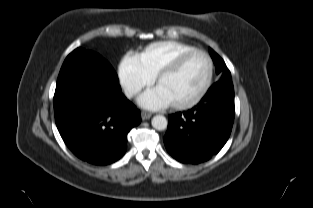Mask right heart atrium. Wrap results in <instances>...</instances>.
<instances>
[{"mask_svg": "<svg viewBox=\"0 0 313 208\" xmlns=\"http://www.w3.org/2000/svg\"><path fill=\"white\" fill-rule=\"evenodd\" d=\"M119 76L128 97L136 96L153 81V77L138 65L134 56L123 60L119 67Z\"/></svg>", "mask_w": 313, "mask_h": 208, "instance_id": "obj_1", "label": "right heart atrium"}]
</instances>
